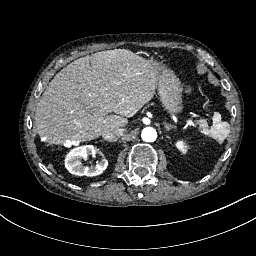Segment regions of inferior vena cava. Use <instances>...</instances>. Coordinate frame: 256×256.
<instances>
[{"label": "inferior vena cava", "instance_id": "obj_1", "mask_svg": "<svg viewBox=\"0 0 256 256\" xmlns=\"http://www.w3.org/2000/svg\"><path fill=\"white\" fill-rule=\"evenodd\" d=\"M122 134H123V129L115 128V129H109L108 131L103 132L101 135L104 140L116 141L117 137L121 136Z\"/></svg>", "mask_w": 256, "mask_h": 256}]
</instances>
